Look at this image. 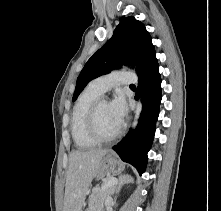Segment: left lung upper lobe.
Here are the masks:
<instances>
[{
    "mask_svg": "<svg viewBox=\"0 0 221 211\" xmlns=\"http://www.w3.org/2000/svg\"><path fill=\"white\" fill-rule=\"evenodd\" d=\"M155 54L144 24L134 17L121 18L112 38L87 61L79 74L72 101L92 79L119 68L121 64L135 65L140 73Z\"/></svg>",
    "mask_w": 221,
    "mask_h": 211,
    "instance_id": "obj_1",
    "label": "left lung upper lobe"
}]
</instances>
